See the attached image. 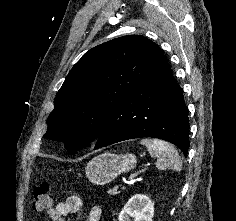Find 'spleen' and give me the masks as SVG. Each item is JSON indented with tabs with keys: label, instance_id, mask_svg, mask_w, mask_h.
Masks as SVG:
<instances>
[{
	"label": "spleen",
	"instance_id": "spleen-1",
	"mask_svg": "<svg viewBox=\"0 0 236 221\" xmlns=\"http://www.w3.org/2000/svg\"><path fill=\"white\" fill-rule=\"evenodd\" d=\"M140 143L147 147L152 157L157 159L156 167L159 170L172 169L177 172L181 171L182 161L173 145L164 140L152 138H144Z\"/></svg>",
	"mask_w": 236,
	"mask_h": 221
}]
</instances>
